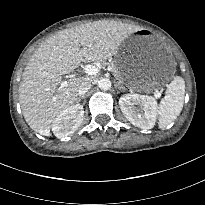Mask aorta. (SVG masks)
Here are the masks:
<instances>
[{"label":"aorta","instance_id":"aorta-1","mask_svg":"<svg viewBox=\"0 0 205 205\" xmlns=\"http://www.w3.org/2000/svg\"><path fill=\"white\" fill-rule=\"evenodd\" d=\"M111 86H112V83L108 78H100L98 80V87L101 90H109Z\"/></svg>","mask_w":205,"mask_h":205}]
</instances>
